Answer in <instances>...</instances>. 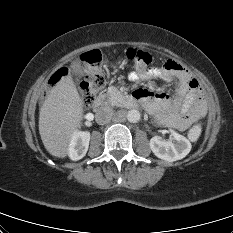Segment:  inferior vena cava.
Returning a JSON list of instances; mask_svg holds the SVG:
<instances>
[{
	"label": "inferior vena cava",
	"mask_w": 233,
	"mask_h": 233,
	"mask_svg": "<svg viewBox=\"0 0 233 233\" xmlns=\"http://www.w3.org/2000/svg\"><path fill=\"white\" fill-rule=\"evenodd\" d=\"M113 115H114V112H113V109L110 106L105 105L103 107H100L99 109H97V112H96V115H95L96 122L99 125L107 124V123L110 122Z\"/></svg>",
	"instance_id": "inferior-vena-cava-1"
}]
</instances>
